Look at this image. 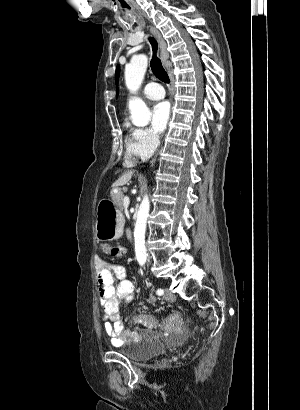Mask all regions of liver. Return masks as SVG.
Returning a JSON list of instances; mask_svg holds the SVG:
<instances>
[{"label": "liver", "instance_id": "6515ba94", "mask_svg": "<svg viewBox=\"0 0 300 410\" xmlns=\"http://www.w3.org/2000/svg\"><path fill=\"white\" fill-rule=\"evenodd\" d=\"M132 175L133 171H127L113 184V186L125 185L132 178Z\"/></svg>", "mask_w": 300, "mask_h": 410}]
</instances>
